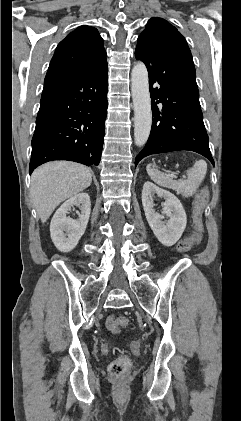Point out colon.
I'll use <instances>...</instances> for the list:
<instances>
[{
  "label": "colon",
  "instance_id": "1",
  "mask_svg": "<svg viewBox=\"0 0 241 421\" xmlns=\"http://www.w3.org/2000/svg\"><path fill=\"white\" fill-rule=\"evenodd\" d=\"M209 195L206 190H202L196 199L195 208L193 211V224L196 230H201L203 224V213L208 203ZM194 243L193 236H187L179 241L177 245L178 253H185L189 251ZM116 326H126L128 325V319L125 316H118L114 321ZM130 361L129 358L120 355L115 360H113L109 365V373L113 377L120 378L122 377L129 369Z\"/></svg>",
  "mask_w": 241,
  "mask_h": 421
}]
</instances>
